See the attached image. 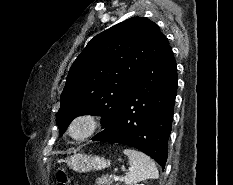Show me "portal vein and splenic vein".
Here are the masks:
<instances>
[{
	"instance_id": "obj_1",
	"label": "portal vein and splenic vein",
	"mask_w": 233,
	"mask_h": 185,
	"mask_svg": "<svg viewBox=\"0 0 233 185\" xmlns=\"http://www.w3.org/2000/svg\"><path fill=\"white\" fill-rule=\"evenodd\" d=\"M113 179H114L115 181H118V180H120V177H119V176H113Z\"/></svg>"
}]
</instances>
